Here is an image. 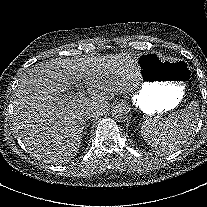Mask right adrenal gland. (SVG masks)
<instances>
[{
	"label": "right adrenal gland",
	"mask_w": 207,
	"mask_h": 207,
	"mask_svg": "<svg viewBox=\"0 0 207 207\" xmlns=\"http://www.w3.org/2000/svg\"><path fill=\"white\" fill-rule=\"evenodd\" d=\"M87 127H88V124H87V122H85V123L83 124L84 134L87 133Z\"/></svg>",
	"instance_id": "2a0ac1e0"
}]
</instances>
